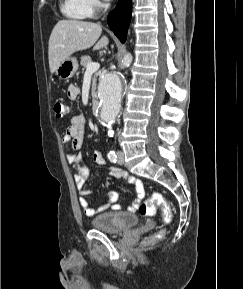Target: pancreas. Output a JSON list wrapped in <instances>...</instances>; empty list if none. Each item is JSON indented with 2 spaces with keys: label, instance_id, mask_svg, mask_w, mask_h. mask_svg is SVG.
I'll return each mask as SVG.
<instances>
[{
  "label": "pancreas",
  "instance_id": "obj_1",
  "mask_svg": "<svg viewBox=\"0 0 243 289\" xmlns=\"http://www.w3.org/2000/svg\"><path fill=\"white\" fill-rule=\"evenodd\" d=\"M89 63H92V59L90 56H81L80 58V64L81 66L86 69L87 68V65ZM99 76V73L98 72H95L94 75H93V79H92V89H91V95H92V98H95L96 96V81H97V77Z\"/></svg>",
  "mask_w": 243,
  "mask_h": 289
}]
</instances>
